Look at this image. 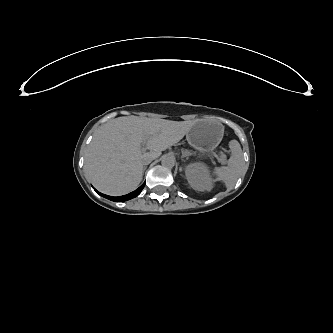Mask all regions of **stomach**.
Returning <instances> with one entry per match:
<instances>
[{
	"label": "stomach",
	"instance_id": "1",
	"mask_svg": "<svg viewBox=\"0 0 333 333\" xmlns=\"http://www.w3.org/2000/svg\"><path fill=\"white\" fill-rule=\"evenodd\" d=\"M187 140L190 144H196L197 143L192 136L187 137Z\"/></svg>",
	"mask_w": 333,
	"mask_h": 333
}]
</instances>
